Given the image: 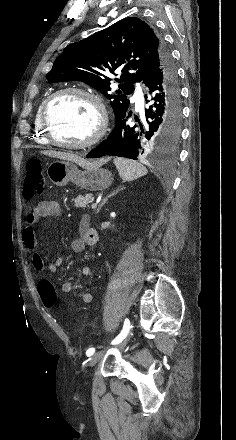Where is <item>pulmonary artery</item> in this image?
Wrapping results in <instances>:
<instances>
[{
	"label": "pulmonary artery",
	"instance_id": "pulmonary-artery-1",
	"mask_svg": "<svg viewBox=\"0 0 236 440\" xmlns=\"http://www.w3.org/2000/svg\"><path fill=\"white\" fill-rule=\"evenodd\" d=\"M133 100L136 102L138 108L142 107L143 98H142V87L140 85H138V87L136 88V92L133 97Z\"/></svg>",
	"mask_w": 236,
	"mask_h": 440
}]
</instances>
